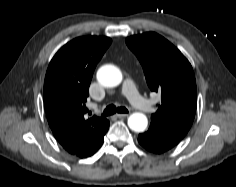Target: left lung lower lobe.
<instances>
[{
    "instance_id": "obj_1",
    "label": "left lung lower lobe",
    "mask_w": 236,
    "mask_h": 187,
    "mask_svg": "<svg viewBox=\"0 0 236 187\" xmlns=\"http://www.w3.org/2000/svg\"><path fill=\"white\" fill-rule=\"evenodd\" d=\"M138 141L146 150L160 154L177 145L180 140L165 133L149 129L147 132L139 134Z\"/></svg>"
}]
</instances>
